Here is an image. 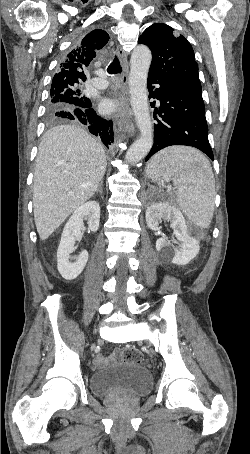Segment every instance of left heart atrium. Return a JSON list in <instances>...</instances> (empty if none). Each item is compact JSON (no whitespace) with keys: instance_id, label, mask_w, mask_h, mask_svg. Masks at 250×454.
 Here are the masks:
<instances>
[{"instance_id":"left-heart-atrium-1","label":"left heart atrium","mask_w":250,"mask_h":454,"mask_svg":"<svg viewBox=\"0 0 250 454\" xmlns=\"http://www.w3.org/2000/svg\"><path fill=\"white\" fill-rule=\"evenodd\" d=\"M100 108L103 113L108 114L117 108V103L110 99H104L100 104Z\"/></svg>"}]
</instances>
